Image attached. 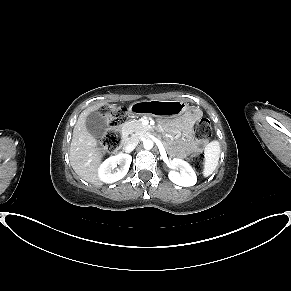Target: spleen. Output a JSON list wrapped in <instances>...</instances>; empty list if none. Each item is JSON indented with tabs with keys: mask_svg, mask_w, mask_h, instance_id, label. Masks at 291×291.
Returning a JSON list of instances; mask_svg holds the SVG:
<instances>
[{
	"mask_svg": "<svg viewBox=\"0 0 291 291\" xmlns=\"http://www.w3.org/2000/svg\"><path fill=\"white\" fill-rule=\"evenodd\" d=\"M205 163L203 174L211 175L216 169L220 157V145L218 141H212L205 147Z\"/></svg>",
	"mask_w": 291,
	"mask_h": 291,
	"instance_id": "3e777b00",
	"label": "spleen"
}]
</instances>
